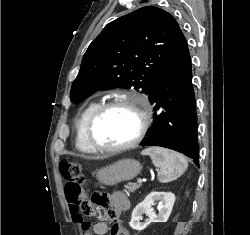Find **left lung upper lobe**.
I'll use <instances>...</instances> for the list:
<instances>
[{
  "label": "left lung upper lobe",
  "mask_w": 250,
  "mask_h": 235,
  "mask_svg": "<svg viewBox=\"0 0 250 235\" xmlns=\"http://www.w3.org/2000/svg\"><path fill=\"white\" fill-rule=\"evenodd\" d=\"M180 33L173 16L154 6L112 21L86 50L71 87V101L78 103L98 90L117 87L148 94Z\"/></svg>",
  "instance_id": "left-lung-upper-lobe-1"
}]
</instances>
